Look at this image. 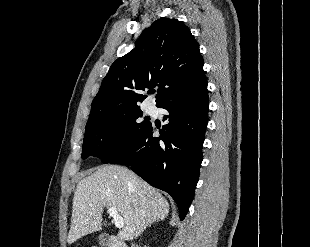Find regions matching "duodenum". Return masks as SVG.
Returning <instances> with one entry per match:
<instances>
[{"label": "duodenum", "mask_w": 310, "mask_h": 247, "mask_svg": "<svg viewBox=\"0 0 310 247\" xmlns=\"http://www.w3.org/2000/svg\"><path fill=\"white\" fill-rule=\"evenodd\" d=\"M102 243L105 247H128L123 241L111 234H104L102 236Z\"/></svg>", "instance_id": "duodenum-1"}]
</instances>
